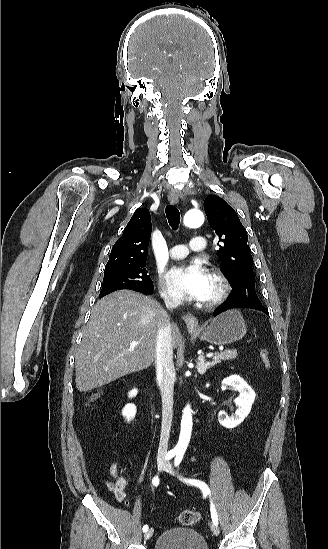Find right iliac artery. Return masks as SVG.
Listing matches in <instances>:
<instances>
[{
  "label": "right iliac artery",
  "mask_w": 328,
  "mask_h": 549,
  "mask_svg": "<svg viewBox=\"0 0 328 549\" xmlns=\"http://www.w3.org/2000/svg\"><path fill=\"white\" fill-rule=\"evenodd\" d=\"M175 456V453H168L166 456H165V460H169L171 458H173ZM152 483L154 486H158L159 485V478L158 476H155L152 480ZM148 530V526L147 525H144L143 526V532H146Z\"/></svg>",
  "instance_id": "1"
}]
</instances>
